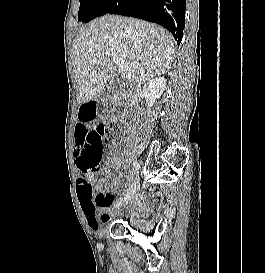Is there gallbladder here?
I'll return each instance as SVG.
<instances>
[{"instance_id":"gallbladder-1","label":"gallbladder","mask_w":265,"mask_h":273,"mask_svg":"<svg viewBox=\"0 0 265 273\" xmlns=\"http://www.w3.org/2000/svg\"><path fill=\"white\" fill-rule=\"evenodd\" d=\"M119 87V81H115L111 87V92L114 93Z\"/></svg>"}]
</instances>
